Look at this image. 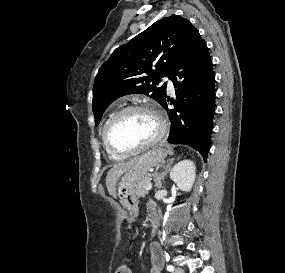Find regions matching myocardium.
<instances>
[{"label":"myocardium","mask_w":285,"mask_h":273,"mask_svg":"<svg viewBox=\"0 0 285 273\" xmlns=\"http://www.w3.org/2000/svg\"><path fill=\"white\" fill-rule=\"evenodd\" d=\"M131 111H143V112L150 114L157 123L158 131L153 139H151L150 141L138 147H135L132 149H121L112 142L111 132H112L114 125L119 120V118L123 116L124 114L131 112ZM166 132H167L166 120L158 109H156L155 107L151 105H147V104H130V105L122 107L121 109L113 113V115L110 117L104 129V141L107 147L111 151L117 154L123 155V156H128V155L139 153L143 150H146L154 146L155 144H157L159 141H161L164 138V136L166 135Z\"/></svg>","instance_id":"1"}]
</instances>
